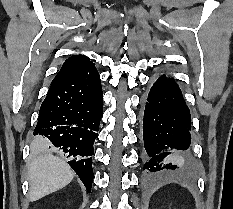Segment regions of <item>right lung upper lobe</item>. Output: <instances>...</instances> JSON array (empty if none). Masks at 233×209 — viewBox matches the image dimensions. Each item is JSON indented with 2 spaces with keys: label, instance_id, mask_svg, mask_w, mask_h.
<instances>
[{
  "label": "right lung upper lobe",
  "instance_id": "right-lung-upper-lobe-1",
  "mask_svg": "<svg viewBox=\"0 0 233 209\" xmlns=\"http://www.w3.org/2000/svg\"><path fill=\"white\" fill-rule=\"evenodd\" d=\"M92 64L93 63L90 61V59L84 55L69 57L62 65V68L53 79L51 85L79 72L80 70Z\"/></svg>",
  "mask_w": 233,
  "mask_h": 209
}]
</instances>
